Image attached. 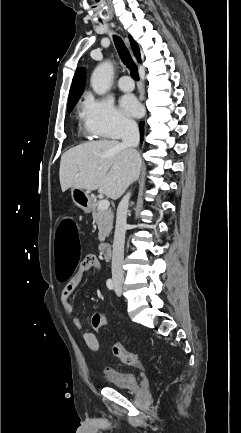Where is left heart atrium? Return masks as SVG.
<instances>
[{
  "instance_id": "obj_1",
  "label": "left heart atrium",
  "mask_w": 241,
  "mask_h": 433,
  "mask_svg": "<svg viewBox=\"0 0 241 433\" xmlns=\"http://www.w3.org/2000/svg\"><path fill=\"white\" fill-rule=\"evenodd\" d=\"M120 106L122 110L128 115L137 116L140 113V104L133 96H123L120 100Z\"/></svg>"
}]
</instances>
